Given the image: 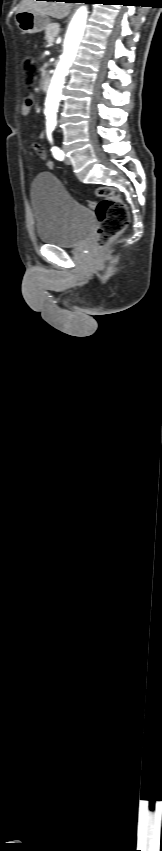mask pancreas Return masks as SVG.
Returning <instances> with one entry per match:
<instances>
[{"mask_svg": "<svg viewBox=\"0 0 162 851\" xmlns=\"http://www.w3.org/2000/svg\"><path fill=\"white\" fill-rule=\"evenodd\" d=\"M58 32H59V25L57 23L49 24L46 27L45 39L47 40V42L49 44L53 42V41H51V39H53Z\"/></svg>", "mask_w": 162, "mask_h": 851, "instance_id": "1", "label": "pancreas"}]
</instances>
